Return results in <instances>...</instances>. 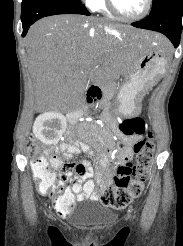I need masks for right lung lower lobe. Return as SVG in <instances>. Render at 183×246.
I'll return each mask as SVG.
<instances>
[{"instance_id": "1", "label": "right lung lower lobe", "mask_w": 183, "mask_h": 246, "mask_svg": "<svg viewBox=\"0 0 183 246\" xmlns=\"http://www.w3.org/2000/svg\"><path fill=\"white\" fill-rule=\"evenodd\" d=\"M57 14H82L89 16V11L78 2V0H67L53 5H39L27 9H22L21 21L23 34L25 36L29 27L38 19Z\"/></svg>"}]
</instances>
